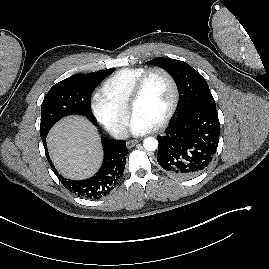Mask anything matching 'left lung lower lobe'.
<instances>
[{
  "instance_id": "1",
  "label": "left lung lower lobe",
  "mask_w": 269,
  "mask_h": 269,
  "mask_svg": "<svg viewBox=\"0 0 269 269\" xmlns=\"http://www.w3.org/2000/svg\"><path fill=\"white\" fill-rule=\"evenodd\" d=\"M219 134L216 108L192 109L178 117L164 136L158 137L157 161L175 177H195L211 163Z\"/></svg>"
}]
</instances>
